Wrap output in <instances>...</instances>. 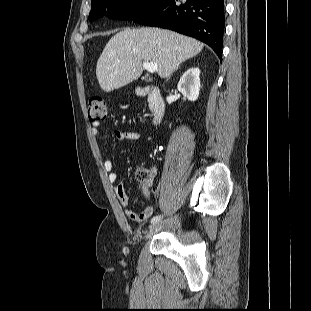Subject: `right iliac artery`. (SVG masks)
<instances>
[{
  "instance_id": "right-iliac-artery-1",
  "label": "right iliac artery",
  "mask_w": 311,
  "mask_h": 311,
  "mask_svg": "<svg viewBox=\"0 0 311 311\" xmlns=\"http://www.w3.org/2000/svg\"><path fill=\"white\" fill-rule=\"evenodd\" d=\"M162 219V216L161 215H157V216H154L152 219H151V223H157L159 222L160 220Z\"/></svg>"
}]
</instances>
